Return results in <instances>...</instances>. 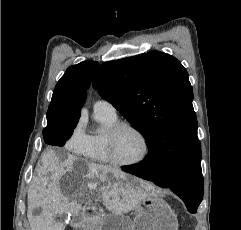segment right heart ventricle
I'll return each mask as SVG.
<instances>
[{"mask_svg": "<svg viewBox=\"0 0 241 230\" xmlns=\"http://www.w3.org/2000/svg\"><path fill=\"white\" fill-rule=\"evenodd\" d=\"M97 121L102 126V131L88 135V143L82 155L94 162L109 163L106 147L105 135L109 127L117 122V116H111L104 113H95Z\"/></svg>", "mask_w": 241, "mask_h": 230, "instance_id": "right-heart-ventricle-1", "label": "right heart ventricle"}]
</instances>
